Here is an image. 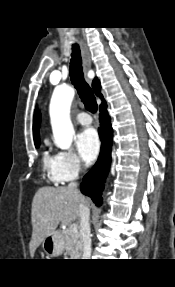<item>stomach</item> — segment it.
<instances>
[{"label": "stomach", "mask_w": 175, "mask_h": 287, "mask_svg": "<svg viewBox=\"0 0 175 287\" xmlns=\"http://www.w3.org/2000/svg\"><path fill=\"white\" fill-rule=\"evenodd\" d=\"M42 248L49 256H58L64 249V237L59 231H53L42 241Z\"/></svg>", "instance_id": "0dacf381"}]
</instances>
